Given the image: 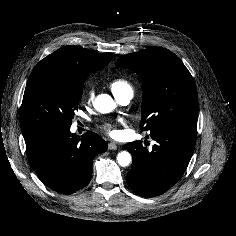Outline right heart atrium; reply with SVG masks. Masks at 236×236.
I'll list each match as a JSON object with an SVG mask.
<instances>
[{"label": "right heart atrium", "mask_w": 236, "mask_h": 236, "mask_svg": "<svg viewBox=\"0 0 236 236\" xmlns=\"http://www.w3.org/2000/svg\"><path fill=\"white\" fill-rule=\"evenodd\" d=\"M92 90H89V92H88V95H89V97H91L92 96Z\"/></svg>", "instance_id": "obj_1"}]
</instances>
